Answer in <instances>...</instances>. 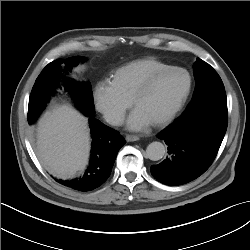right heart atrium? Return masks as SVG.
<instances>
[{"label":"right heart atrium","instance_id":"right-heart-atrium-1","mask_svg":"<svg viewBox=\"0 0 250 250\" xmlns=\"http://www.w3.org/2000/svg\"><path fill=\"white\" fill-rule=\"evenodd\" d=\"M92 95L96 109L114 126L123 122L127 110L132 106V99L123 95L107 79L95 84Z\"/></svg>","mask_w":250,"mask_h":250}]
</instances>
